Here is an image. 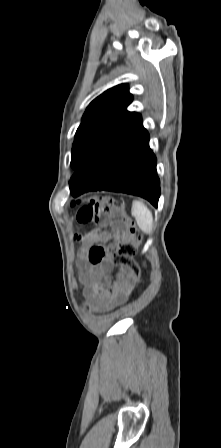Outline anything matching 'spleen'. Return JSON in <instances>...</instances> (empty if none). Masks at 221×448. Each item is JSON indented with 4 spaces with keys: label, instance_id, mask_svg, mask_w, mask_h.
<instances>
[{
    "label": "spleen",
    "instance_id": "spleen-1",
    "mask_svg": "<svg viewBox=\"0 0 221 448\" xmlns=\"http://www.w3.org/2000/svg\"><path fill=\"white\" fill-rule=\"evenodd\" d=\"M131 214L137 225L145 234H150L153 227V215L150 209L140 200L132 202Z\"/></svg>",
    "mask_w": 221,
    "mask_h": 448
}]
</instances>
